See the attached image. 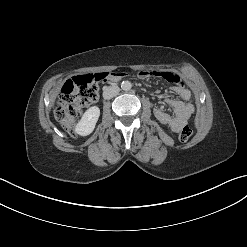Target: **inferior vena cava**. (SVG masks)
I'll return each instance as SVG.
<instances>
[{
    "mask_svg": "<svg viewBox=\"0 0 247 247\" xmlns=\"http://www.w3.org/2000/svg\"><path fill=\"white\" fill-rule=\"evenodd\" d=\"M120 91V88L118 86H106L103 88V98L104 99H111L113 97H115L116 95H118Z\"/></svg>",
    "mask_w": 247,
    "mask_h": 247,
    "instance_id": "1",
    "label": "inferior vena cava"
}]
</instances>
